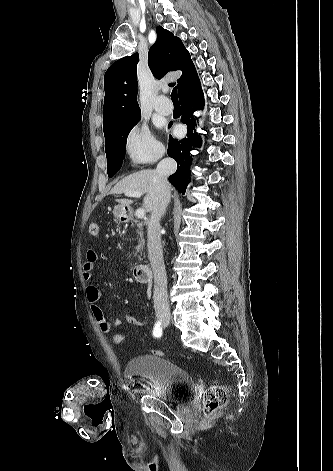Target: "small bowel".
I'll return each instance as SVG.
<instances>
[{"instance_id": "1", "label": "small bowel", "mask_w": 333, "mask_h": 471, "mask_svg": "<svg viewBox=\"0 0 333 471\" xmlns=\"http://www.w3.org/2000/svg\"><path fill=\"white\" fill-rule=\"evenodd\" d=\"M101 259H105L103 254H100L95 250H89L87 252L86 261L83 264V278L88 283L86 288V296L90 304L93 317L99 329L102 332L107 333L112 329V327H119L123 323L132 326L144 325L145 323L143 321L129 314H124L115 318L112 323L109 322L106 318L104 311L99 305L101 300V292L97 285L93 282L95 264Z\"/></svg>"}]
</instances>
